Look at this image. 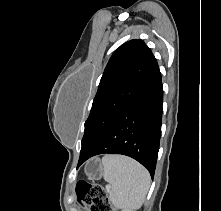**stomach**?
<instances>
[{
    "label": "stomach",
    "instance_id": "1",
    "mask_svg": "<svg viewBox=\"0 0 221 211\" xmlns=\"http://www.w3.org/2000/svg\"><path fill=\"white\" fill-rule=\"evenodd\" d=\"M84 171L90 180H98L103 175V165L99 159L95 158L87 162Z\"/></svg>",
    "mask_w": 221,
    "mask_h": 211
}]
</instances>
